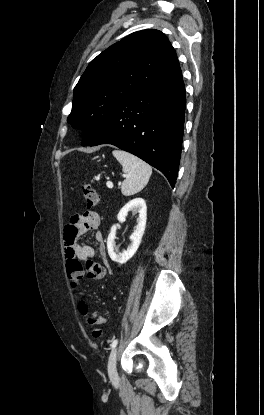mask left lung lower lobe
Returning <instances> with one entry per match:
<instances>
[{
    "label": "left lung lower lobe",
    "mask_w": 264,
    "mask_h": 415,
    "mask_svg": "<svg viewBox=\"0 0 264 415\" xmlns=\"http://www.w3.org/2000/svg\"><path fill=\"white\" fill-rule=\"evenodd\" d=\"M185 87L180 66L132 95L83 146L112 144L160 170L174 188L181 155Z\"/></svg>",
    "instance_id": "1"
}]
</instances>
